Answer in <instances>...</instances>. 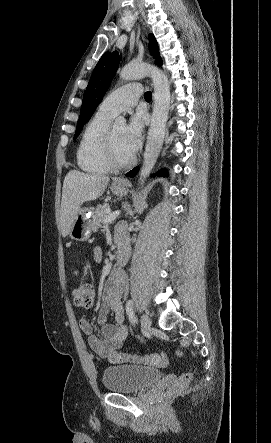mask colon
<instances>
[{"label":"colon","mask_w":271,"mask_h":443,"mask_svg":"<svg viewBox=\"0 0 271 443\" xmlns=\"http://www.w3.org/2000/svg\"><path fill=\"white\" fill-rule=\"evenodd\" d=\"M95 289L90 282H81L72 290V299L76 306L83 309H91L94 304ZM111 363H144L157 367H164L168 364L167 356L164 353L151 354H126L112 351L108 354ZM192 380V374L187 372L181 374L173 383L171 393H177L188 387Z\"/></svg>","instance_id":"1"}]
</instances>
